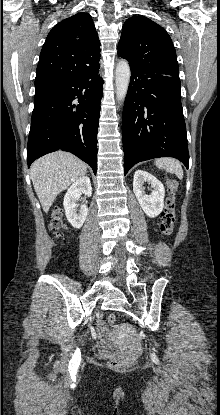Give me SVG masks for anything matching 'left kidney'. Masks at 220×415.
Instances as JSON below:
<instances>
[{
	"label": "left kidney",
	"mask_w": 220,
	"mask_h": 415,
	"mask_svg": "<svg viewBox=\"0 0 220 415\" xmlns=\"http://www.w3.org/2000/svg\"><path fill=\"white\" fill-rule=\"evenodd\" d=\"M145 182L151 184V188H153L150 195H147L144 191L143 184ZM133 191L141 208L147 216L154 218L162 212L164 207L165 189L163 184L156 177L146 171L137 170L134 173Z\"/></svg>",
	"instance_id": "1"
}]
</instances>
